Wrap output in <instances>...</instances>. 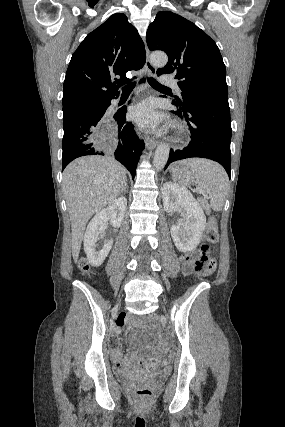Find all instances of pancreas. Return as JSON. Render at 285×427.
Here are the masks:
<instances>
[{
	"label": "pancreas",
	"mask_w": 285,
	"mask_h": 427,
	"mask_svg": "<svg viewBox=\"0 0 285 427\" xmlns=\"http://www.w3.org/2000/svg\"><path fill=\"white\" fill-rule=\"evenodd\" d=\"M198 202L201 204V206L205 209L207 213H210V207L205 199L200 198L198 199Z\"/></svg>",
	"instance_id": "cf45deb5"
}]
</instances>
